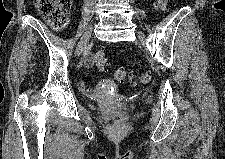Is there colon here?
Segmentation results:
<instances>
[{"label":"colon","mask_w":225,"mask_h":159,"mask_svg":"<svg viewBox=\"0 0 225 159\" xmlns=\"http://www.w3.org/2000/svg\"><path fill=\"white\" fill-rule=\"evenodd\" d=\"M71 3L72 0H37L36 2L38 10L46 17L55 30H62L68 24ZM156 5L161 11L167 9L166 0H156ZM94 61L101 71H106L109 67L108 56L102 50L96 51ZM114 76L118 81L130 80L136 85H145L151 80V74L149 72H143L136 78H133L126 68H118ZM112 119L118 123L124 122L128 119V115L124 109L118 107L114 109Z\"/></svg>","instance_id":"5ec220e1"}]
</instances>
